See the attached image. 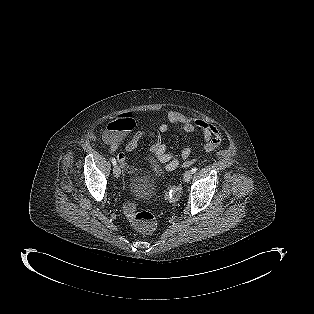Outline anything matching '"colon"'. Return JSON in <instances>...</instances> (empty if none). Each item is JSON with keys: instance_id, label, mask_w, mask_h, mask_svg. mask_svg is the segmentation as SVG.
<instances>
[{"instance_id": "5ec220e1", "label": "colon", "mask_w": 314, "mask_h": 314, "mask_svg": "<svg viewBox=\"0 0 314 314\" xmlns=\"http://www.w3.org/2000/svg\"><path fill=\"white\" fill-rule=\"evenodd\" d=\"M134 119L131 114H122L109 122L103 134L108 143L120 141L123 136L134 128ZM124 212L132 226L143 234H151L156 226V219L149 211H138L133 202L124 205Z\"/></svg>"}]
</instances>
